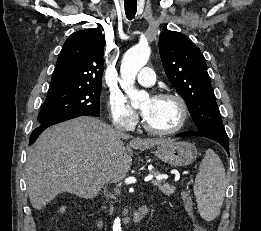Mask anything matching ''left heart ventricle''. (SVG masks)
Wrapping results in <instances>:
<instances>
[{
  "instance_id": "obj_1",
  "label": "left heart ventricle",
  "mask_w": 261,
  "mask_h": 231,
  "mask_svg": "<svg viewBox=\"0 0 261 231\" xmlns=\"http://www.w3.org/2000/svg\"><path fill=\"white\" fill-rule=\"evenodd\" d=\"M141 109L148 123L159 130L172 129L180 120L178 104L170 98H148Z\"/></svg>"
}]
</instances>
